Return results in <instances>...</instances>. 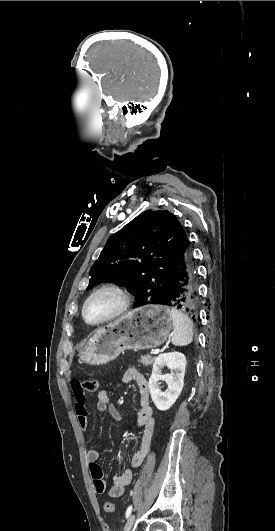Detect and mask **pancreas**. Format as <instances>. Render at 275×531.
<instances>
[{"label":"pancreas","instance_id":"obj_1","mask_svg":"<svg viewBox=\"0 0 275 531\" xmlns=\"http://www.w3.org/2000/svg\"><path fill=\"white\" fill-rule=\"evenodd\" d=\"M155 357H150V355H142L139 359V363H142V365H145V367H148V365H152L154 363Z\"/></svg>","mask_w":275,"mask_h":531}]
</instances>
